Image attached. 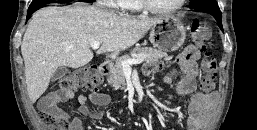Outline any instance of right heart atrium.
I'll list each match as a JSON object with an SVG mask.
<instances>
[{"label": "right heart atrium", "mask_w": 257, "mask_h": 130, "mask_svg": "<svg viewBox=\"0 0 257 130\" xmlns=\"http://www.w3.org/2000/svg\"><path fill=\"white\" fill-rule=\"evenodd\" d=\"M120 0H99L101 6L110 7V8H119Z\"/></svg>", "instance_id": "d8ad5b80"}]
</instances>
